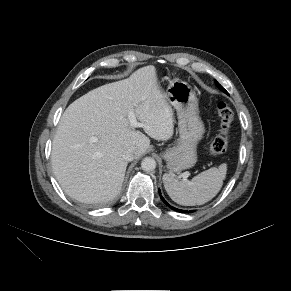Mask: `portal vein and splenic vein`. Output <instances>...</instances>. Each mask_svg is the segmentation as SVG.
<instances>
[{
    "mask_svg": "<svg viewBox=\"0 0 291 291\" xmlns=\"http://www.w3.org/2000/svg\"><path fill=\"white\" fill-rule=\"evenodd\" d=\"M128 117H129V121H130V126L131 127L135 128V127H140L141 126V124L139 122H137V119H136L135 114H134L133 111H129ZM183 177L187 178L188 174L184 173Z\"/></svg>",
    "mask_w": 291,
    "mask_h": 291,
    "instance_id": "portal-vein-and-splenic-vein-1",
    "label": "portal vein and splenic vein"
}]
</instances>
